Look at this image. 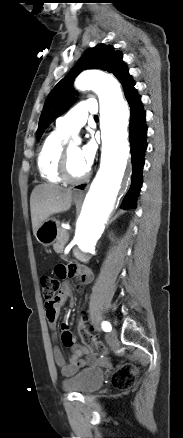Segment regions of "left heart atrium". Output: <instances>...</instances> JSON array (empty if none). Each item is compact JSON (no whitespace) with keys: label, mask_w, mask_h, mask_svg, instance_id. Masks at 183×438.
<instances>
[{"label":"left heart atrium","mask_w":183,"mask_h":438,"mask_svg":"<svg viewBox=\"0 0 183 438\" xmlns=\"http://www.w3.org/2000/svg\"><path fill=\"white\" fill-rule=\"evenodd\" d=\"M81 158L85 164V166L90 169L92 165L95 155H96V144L93 140H90L87 144H85L80 149Z\"/></svg>","instance_id":"1"}]
</instances>
